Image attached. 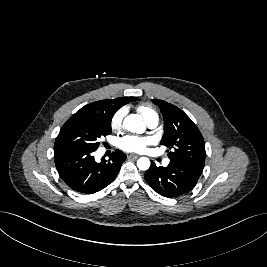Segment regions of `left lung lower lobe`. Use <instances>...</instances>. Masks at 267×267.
<instances>
[{
  "label": "left lung lower lobe",
  "mask_w": 267,
  "mask_h": 267,
  "mask_svg": "<svg viewBox=\"0 0 267 267\" xmlns=\"http://www.w3.org/2000/svg\"><path fill=\"white\" fill-rule=\"evenodd\" d=\"M202 171V167L177 160H170L167 167H157L152 162L144 178L158 194L174 198L189 192L196 185Z\"/></svg>",
  "instance_id": "left-lung-lower-lobe-1"
}]
</instances>
